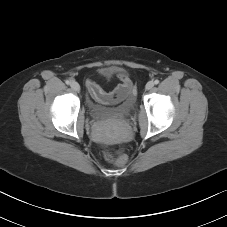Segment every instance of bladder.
<instances>
[{
  "label": "bladder",
  "instance_id": "bladder-1",
  "mask_svg": "<svg viewBox=\"0 0 227 227\" xmlns=\"http://www.w3.org/2000/svg\"><path fill=\"white\" fill-rule=\"evenodd\" d=\"M111 106L110 104L88 102V110L91 117L96 121H106L117 117L128 115L135 107V98L132 94L126 96L122 101Z\"/></svg>",
  "mask_w": 227,
  "mask_h": 227
}]
</instances>
